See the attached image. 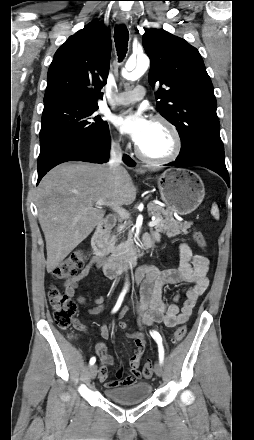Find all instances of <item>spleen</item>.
I'll return each instance as SVG.
<instances>
[{
    "label": "spleen",
    "mask_w": 254,
    "mask_h": 440,
    "mask_svg": "<svg viewBox=\"0 0 254 440\" xmlns=\"http://www.w3.org/2000/svg\"><path fill=\"white\" fill-rule=\"evenodd\" d=\"M211 213L216 219L219 218V211L216 205H213Z\"/></svg>",
    "instance_id": "spleen-1"
}]
</instances>
